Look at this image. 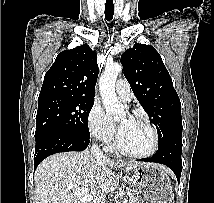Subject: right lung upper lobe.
I'll return each instance as SVG.
<instances>
[{"mask_svg":"<svg viewBox=\"0 0 214 203\" xmlns=\"http://www.w3.org/2000/svg\"><path fill=\"white\" fill-rule=\"evenodd\" d=\"M97 77V54L87 44L62 51L45 74L39 99L49 96L94 99Z\"/></svg>","mask_w":214,"mask_h":203,"instance_id":"cb5924a9","label":"right lung upper lobe"}]
</instances>
